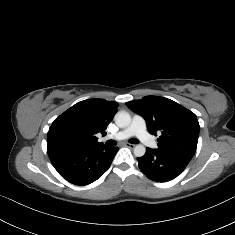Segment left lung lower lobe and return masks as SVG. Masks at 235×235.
<instances>
[{
  "mask_svg": "<svg viewBox=\"0 0 235 235\" xmlns=\"http://www.w3.org/2000/svg\"><path fill=\"white\" fill-rule=\"evenodd\" d=\"M140 170L151 180L165 182L177 177L189 161L178 155L146 149L144 156L137 158Z\"/></svg>",
  "mask_w": 235,
  "mask_h": 235,
  "instance_id": "left-lung-lower-lobe-1",
  "label": "left lung lower lobe"
}]
</instances>
